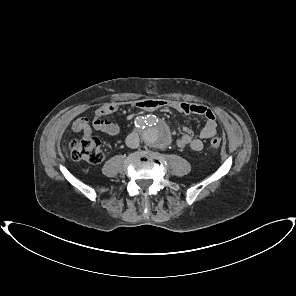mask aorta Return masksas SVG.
I'll use <instances>...</instances> for the list:
<instances>
[{
    "label": "aorta",
    "instance_id": "762f6f07",
    "mask_svg": "<svg viewBox=\"0 0 296 296\" xmlns=\"http://www.w3.org/2000/svg\"><path fill=\"white\" fill-rule=\"evenodd\" d=\"M144 143L155 149L164 150L171 143V134L168 128L155 117L147 118L139 125Z\"/></svg>",
    "mask_w": 296,
    "mask_h": 296
}]
</instances>
